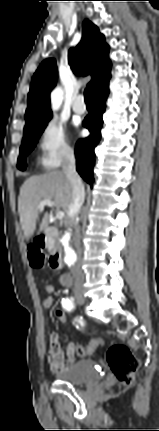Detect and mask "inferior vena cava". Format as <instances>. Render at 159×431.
Listing matches in <instances>:
<instances>
[{
    "label": "inferior vena cava",
    "instance_id": "602c4592",
    "mask_svg": "<svg viewBox=\"0 0 159 431\" xmlns=\"http://www.w3.org/2000/svg\"><path fill=\"white\" fill-rule=\"evenodd\" d=\"M63 171L72 185V201L68 207V219L66 221L67 228H74L72 231V241L77 255L80 257L82 254L80 234L77 229V216L82 207L85 199V189L82 180L76 172L75 155L73 150H69L63 162ZM72 274L75 279L74 291L80 292L82 290L83 272L79 264L72 268Z\"/></svg>",
    "mask_w": 159,
    "mask_h": 431
}]
</instances>
